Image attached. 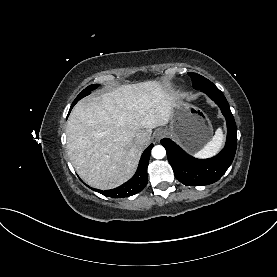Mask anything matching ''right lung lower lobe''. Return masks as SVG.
Instances as JSON below:
<instances>
[{
    "label": "right lung lower lobe",
    "instance_id": "1",
    "mask_svg": "<svg viewBox=\"0 0 277 277\" xmlns=\"http://www.w3.org/2000/svg\"><path fill=\"white\" fill-rule=\"evenodd\" d=\"M152 147H153V144H151L143 152L138 165V169L135 175L129 181L111 190H106V191H102L98 189H92V190L97 191L98 193H101L104 196H109L112 198L128 197L142 191L148 182L147 167H148V162H149L150 152Z\"/></svg>",
    "mask_w": 277,
    "mask_h": 277
}]
</instances>
